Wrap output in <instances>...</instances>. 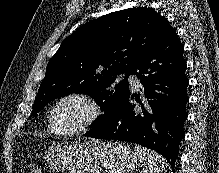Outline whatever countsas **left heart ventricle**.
I'll return each instance as SVG.
<instances>
[{
  "instance_id": "left-heart-ventricle-1",
  "label": "left heart ventricle",
  "mask_w": 219,
  "mask_h": 173,
  "mask_svg": "<svg viewBox=\"0 0 219 173\" xmlns=\"http://www.w3.org/2000/svg\"><path fill=\"white\" fill-rule=\"evenodd\" d=\"M86 112V107L76 100H67L61 103L54 112L57 129L68 131L77 127L85 117Z\"/></svg>"
}]
</instances>
